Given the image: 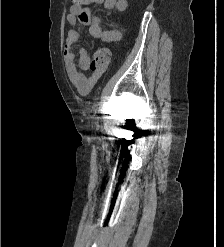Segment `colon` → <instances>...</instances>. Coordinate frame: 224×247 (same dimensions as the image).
Masks as SVG:
<instances>
[{
	"label": "colon",
	"mask_w": 224,
	"mask_h": 247,
	"mask_svg": "<svg viewBox=\"0 0 224 247\" xmlns=\"http://www.w3.org/2000/svg\"><path fill=\"white\" fill-rule=\"evenodd\" d=\"M71 5L73 6H82L84 4V0H70ZM111 59V50L109 47H100L98 48L92 57L91 63H90V69L93 72H104Z\"/></svg>",
	"instance_id": "obj_1"
}]
</instances>
